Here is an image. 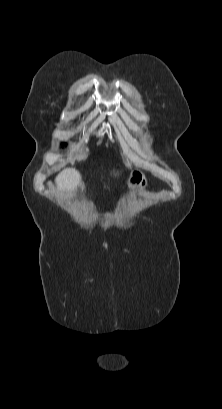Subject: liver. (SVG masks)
<instances>
[{
  "mask_svg": "<svg viewBox=\"0 0 222 409\" xmlns=\"http://www.w3.org/2000/svg\"><path fill=\"white\" fill-rule=\"evenodd\" d=\"M57 187L61 191L72 193L78 187L84 189V184L81 181V175L75 168H66L62 170L55 179Z\"/></svg>",
  "mask_w": 222,
  "mask_h": 409,
  "instance_id": "1",
  "label": "liver"
}]
</instances>
